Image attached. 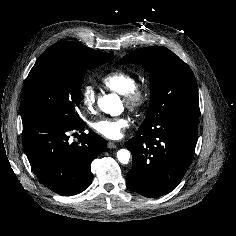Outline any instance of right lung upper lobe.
Masks as SVG:
<instances>
[{"label": "right lung upper lobe", "instance_id": "cb5924a9", "mask_svg": "<svg viewBox=\"0 0 236 236\" xmlns=\"http://www.w3.org/2000/svg\"><path fill=\"white\" fill-rule=\"evenodd\" d=\"M57 43H64L68 46L69 50L79 57H92L94 55L99 54L100 51L92 50L83 44L75 43V42H68V41H60Z\"/></svg>", "mask_w": 236, "mask_h": 236}]
</instances>
